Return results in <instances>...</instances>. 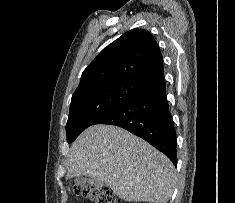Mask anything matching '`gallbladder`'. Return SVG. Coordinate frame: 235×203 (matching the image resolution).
Returning a JSON list of instances; mask_svg holds the SVG:
<instances>
[{
    "label": "gallbladder",
    "instance_id": "obj_1",
    "mask_svg": "<svg viewBox=\"0 0 235 203\" xmlns=\"http://www.w3.org/2000/svg\"><path fill=\"white\" fill-rule=\"evenodd\" d=\"M87 181L83 179L82 181L77 182L78 184H85ZM103 181L102 180H91V185H102Z\"/></svg>",
    "mask_w": 235,
    "mask_h": 203
}]
</instances>
